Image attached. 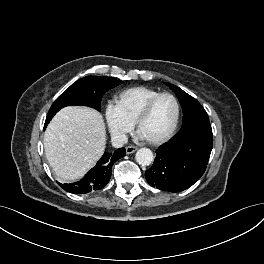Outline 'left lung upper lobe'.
<instances>
[{
	"label": "left lung upper lobe",
	"instance_id": "obj_1",
	"mask_svg": "<svg viewBox=\"0 0 264 264\" xmlns=\"http://www.w3.org/2000/svg\"><path fill=\"white\" fill-rule=\"evenodd\" d=\"M166 84L175 92L183 109V123L179 133L187 132L202 124H210L208 114L195 98L175 85Z\"/></svg>",
	"mask_w": 264,
	"mask_h": 264
}]
</instances>
